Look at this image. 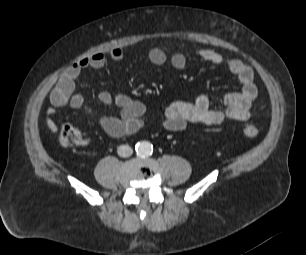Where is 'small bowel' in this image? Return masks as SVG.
<instances>
[{"instance_id": "1", "label": "small bowel", "mask_w": 306, "mask_h": 255, "mask_svg": "<svg viewBox=\"0 0 306 255\" xmlns=\"http://www.w3.org/2000/svg\"><path fill=\"white\" fill-rule=\"evenodd\" d=\"M197 56L213 65L225 66L228 72L236 77L240 89L223 97V109L210 108V101L206 95L198 96L194 102H172L164 112V128L172 132H179L192 123L219 125L226 120H248L251 117L252 103L257 97L253 70L241 60L226 59L223 55L211 49H201L197 51ZM123 57L124 53L120 48H113L109 52V58L112 61L119 62ZM146 57L151 64L156 66H161L168 60L166 53L157 47L148 50ZM106 62L105 54L94 53L74 62L63 71L49 95L51 107L47 110L46 125L50 131L57 130V125L53 119L56 108L69 105L73 109L91 113V108L87 105L84 97L75 93L76 82L83 70L88 68L101 69ZM169 62L174 69L182 70L186 67L187 58L185 54L177 52L170 57ZM98 99L102 104H114L120 110L118 116H103L98 119L100 127L109 136L131 135L142 127V118L146 112V107L141 101L134 100L123 93H111L109 91L100 92Z\"/></svg>"}]
</instances>
